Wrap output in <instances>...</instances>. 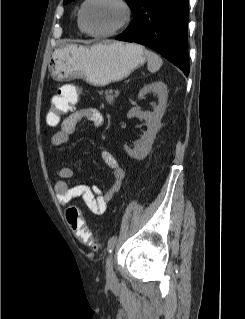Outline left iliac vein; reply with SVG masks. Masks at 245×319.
Here are the masks:
<instances>
[{"label":"left iliac vein","instance_id":"obj_1","mask_svg":"<svg viewBox=\"0 0 245 319\" xmlns=\"http://www.w3.org/2000/svg\"><path fill=\"white\" fill-rule=\"evenodd\" d=\"M106 278L108 282H114L115 274L113 270V254H110L106 260Z\"/></svg>","mask_w":245,"mask_h":319}]
</instances>
